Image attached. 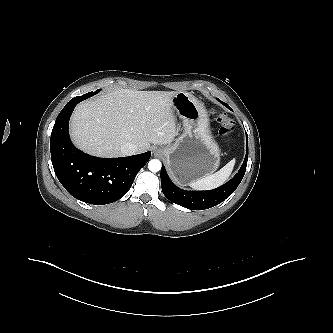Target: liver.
<instances>
[{"instance_id": "obj_1", "label": "liver", "mask_w": 333, "mask_h": 333, "mask_svg": "<svg viewBox=\"0 0 333 333\" xmlns=\"http://www.w3.org/2000/svg\"><path fill=\"white\" fill-rule=\"evenodd\" d=\"M177 93L117 89L84 101L71 117V137L81 150L102 157L121 156L126 143L139 152L169 144L176 135L171 99Z\"/></svg>"}]
</instances>
